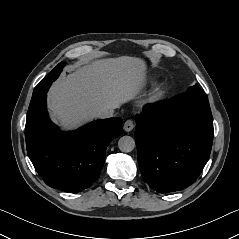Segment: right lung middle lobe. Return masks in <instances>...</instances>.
Masks as SVG:
<instances>
[{"label": "right lung middle lobe", "instance_id": "obj_1", "mask_svg": "<svg viewBox=\"0 0 239 239\" xmlns=\"http://www.w3.org/2000/svg\"><path fill=\"white\" fill-rule=\"evenodd\" d=\"M66 64V62H61L59 63L34 89L35 90H38L39 88L43 87L44 85H46L47 83L49 82H53L55 81L60 72L62 71V68L63 66Z\"/></svg>", "mask_w": 239, "mask_h": 239}]
</instances>
